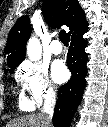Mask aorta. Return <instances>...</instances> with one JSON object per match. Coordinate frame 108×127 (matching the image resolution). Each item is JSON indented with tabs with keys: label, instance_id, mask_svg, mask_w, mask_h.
I'll return each instance as SVG.
<instances>
[{
	"label": "aorta",
	"instance_id": "aorta-1",
	"mask_svg": "<svg viewBox=\"0 0 108 127\" xmlns=\"http://www.w3.org/2000/svg\"><path fill=\"white\" fill-rule=\"evenodd\" d=\"M42 55V47L36 37H31L27 43V56L31 61H39Z\"/></svg>",
	"mask_w": 108,
	"mask_h": 127
}]
</instances>
